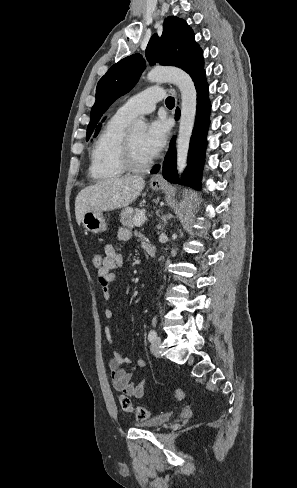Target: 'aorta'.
<instances>
[{
  "label": "aorta",
  "instance_id": "1",
  "mask_svg": "<svg viewBox=\"0 0 297 488\" xmlns=\"http://www.w3.org/2000/svg\"><path fill=\"white\" fill-rule=\"evenodd\" d=\"M150 82H171L175 84L181 94V116L177 139V170L179 175L185 170L189 150L190 138L194 126L197 106V92L191 77L184 71L171 67H154L147 74ZM146 124L143 120H136L132 131H143Z\"/></svg>",
  "mask_w": 297,
  "mask_h": 488
}]
</instances>
